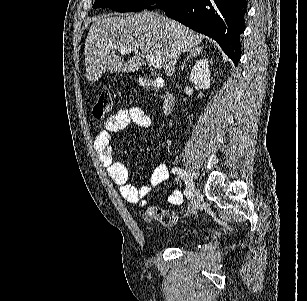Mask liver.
I'll use <instances>...</instances> for the list:
<instances>
[{
  "mask_svg": "<svg viewBox=\"0 0 307 301\" xmlns=\"http://www.w3.org/2000/svg\"><path fill=\"white\" fill-rule=\"evenodd\" d=\"M203 38V34L151 10L123 16L101 14L93 20L85 40L86 78L95 82L106 70L136 72L141 68L142 54L132 52L133 56L125 60L124 56L116 54L118 46H132L143 54H159L164 72L172 76L179 54L198 46Z\"/></svg>",
  "mask_w": 307,
  "mask_h": 301,
  "instance_id": "liver-1",
  "label": "liver"
}]
</instances>
